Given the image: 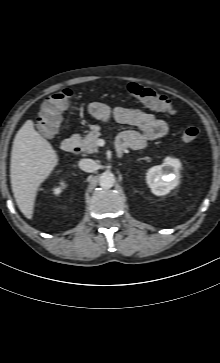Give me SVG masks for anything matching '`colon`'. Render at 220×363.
I'll return each mask as SVG.
<instances>
[{"label":"colon","mask_w":220,"mask_h":363,"mask_svg":"<svg viewBox=\"0 0 220 363\" xmlns=\"http://www.w3.org/2000/svg\"><path fill=\"white\" fill-rule=\"evenodd\" d=\"M126 90L129 95L139 99L151 108L171 114L176 112L174 103L168 97L152 88L137 83H130ZM72 95V90L65 88L50 94L46 98L41 107L40 116L37 122L38 132L42 136L51 137L58 132L62 113L68 107ZM199 135L200 130L195 126L185 127L181 132V138L185 142L195 141Z\"/></svg>","instance_id":"5ec220e1"}]
</instances>
